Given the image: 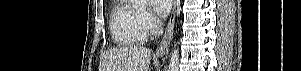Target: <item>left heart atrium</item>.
Here are the masks:
<instances>
[{"mask_svg": "<svg viewBox=\"0 0 301 71\" xmlns=\"http://www.w3.org/2000/svg\"><path fill=\"white\" fill-rule=\"evenodd\" d=\"M154 13L160 17H164L171 9V0H151Z\"/></svg>", "mask_w": 301, "mask_h": 71, "instance_id": "39dd6f15", "label": "left heart atrium"}]
</instances>
